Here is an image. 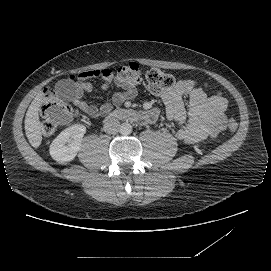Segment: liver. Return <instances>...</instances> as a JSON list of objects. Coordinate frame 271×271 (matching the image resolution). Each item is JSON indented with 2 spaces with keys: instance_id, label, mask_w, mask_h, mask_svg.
<instances>
[{
  "instance_id": "liver-1",
  "label": "liver",
  "mask_w": 271,
  "mask_h": 271,
  "mask_svg": "<svg viewBox=\"0 0 271 271\" xmlns=\"http://www.w3.org/2000/svg\"><path fill=\"white\" fill-rule=\"evenodd\" d=\"M42 93L36 95L25 116V133L32 147L38 148L42 142L43 124L39 120V109L42 104Z\"/></svg>"
}]
</instances>
